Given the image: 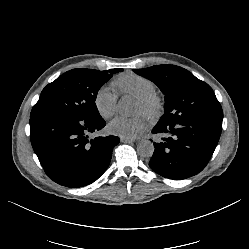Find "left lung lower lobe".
Segmentation results:
<instances>
[{
	"label": "left lung lower lobe",
	"mask_w": 249,
	"mask_h": 249,
	"mask_svg": "<svg viewBox=\"0 0 249 249\" xmlns=\"http://www.w3.org/2000/svg\"><path fill=\"white\" fill-rule=\"evenodd\" d=\"M221 118L183 119L177 123L159 124L152 133L163 135L154 142L150 168L169 179L180 180L201 172L209 162L220 138Z\"/></svg>",
	"instance_id": "1"
}]
</instances>
